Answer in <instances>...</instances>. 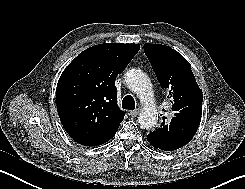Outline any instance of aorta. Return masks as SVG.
<instances>
[{
    "label": "aorta",
    "mask_w": 245,
    "mask_h": 189,
    "mask_svg": "<svg viewBox=\"0 0 245 189\" xmlns=\"http://www.w3.org/2000/svg\"><path fill=\"white\" fill-rule=\"evenodd\" d=\"M127 87L144 103L138 116V123L143 129H151L157 123V112L152 105L153 88L146 73L139 69H129L124 75Z\"/></svg>",
    "instance_id": "obj_1"
}]
</instances>
